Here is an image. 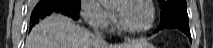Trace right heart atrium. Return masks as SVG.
Here are the masks:
<instances>
[{
	"label": "right heart atrium",
	"mask_w": 213,
	"mask_h": 48,
	"mask_svg": "<svg viewBox=\"0 0 213 48\" xmlns=\"http://www.w3.org/2000/svg\"><path fill=\"white\" fill-rule=\"evenodd\" d=\"M81 9L87 24L96 30H107L114 20L113 14L105 9L99 1L83 0Z\"/></svg>",
	"instance_id": "d8ad5b80"
}]
</instances>
